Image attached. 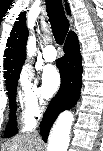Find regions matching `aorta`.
Instances as JSON below:
<instances>
[{
	"label": "aorta",
	"instance_id": "1",
	"mask_svg": "<svg viewBox=\"0 0 103 151\" xmlns=\"http://www.w3.org/2000/svg\"><path fill=\"white\" fill-rule=\"evenodd\" d=\"M35 51L36 39L33 36L29 38L27 44L28 57H32ZM73 121L74 117L70 111H65L59 116L50 134L47 151H67Z\"/></svg>",
	"mask_w": 103,
	"mask_h": 151
}]
</instances>
